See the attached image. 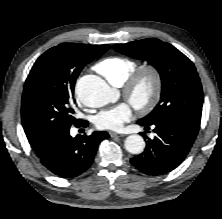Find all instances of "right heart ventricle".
Returning a JSON list of instances; mask_svg holds the SVG:
<instances>
[{
    "mask_svg": "<svg viewBox=\"0 0 222 219\" xmlns=\"http://www.w3.org/2000/svg\"><path fill=\"white\" fill-rule=\"evenodd\" d=\"M136 67L137 64L132 59L120 56H111L99 61L95 65V70L110 84L114 86H121Z\"/></svg>",
    "mask_w": 222,
    "mask_h": 219,
    "instance_id": "e07e8e85",
    "label": "right heart ventricle"
}]
</instances>
